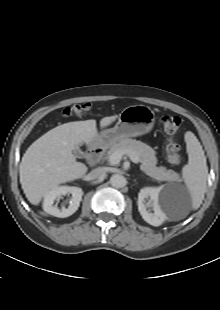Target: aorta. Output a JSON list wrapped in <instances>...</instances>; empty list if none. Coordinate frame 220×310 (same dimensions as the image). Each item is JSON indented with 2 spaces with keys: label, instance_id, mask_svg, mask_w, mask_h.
Masks as SVG:
<instances>
[{
  "label": "aorta",
  "instance_id": "762f6f07",
  "mask_svg": "<svg viewBox=\"0 0 220 310\" xmlns=\"http://www.w3.org/2000/svg\"><path fill=\"white\" fill-rule=\"evenodd\" d=\"M110 183L115 188H122L126 185V179L120 174H114L110 178Z\"/></svg>",
  "mask_w": 220,
  "mask_h": 310
}]
</instances>
